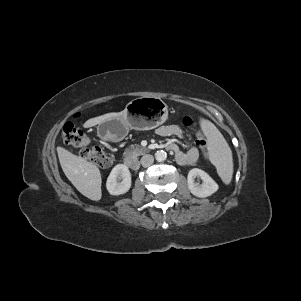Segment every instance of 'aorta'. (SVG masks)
<instances>
[{
    "label": "aorta",
    "mask_w": 301,
    "mask_h": 301,
    "mask_svg": "<svg viewBox=\"0 0 301 301\" xmlns=\"http://www.w3.org/2000/svg\"><path fill=\"white\" fill-rule=\"evenodd\" d=\"M155 158H156L157 161L163 162L167 158V153L165 151H163V150L157 151L155 153Z\"/></svg>",
    "instance_id": "1"
}]
</instances>
